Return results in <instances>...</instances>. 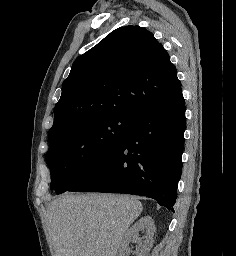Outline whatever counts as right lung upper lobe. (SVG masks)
<instances>
[{
	"label": "right lung upper lobe",
	"mask_w": 236,
	"mask_h": 256,
	"mask_svg": "<svg viewBox=\"0 0 236 256\" xmlns=\"http://www.w3.org/2000/svg\"><path fill=\"white\" fill-rule=\"evenodd\" d=\"M180 87L176 68L151 32L117 28L73 63L49 135L105 117L136 120Z\"/></svg>",
	"instance_id": "obj_1"
}]
</instances>
